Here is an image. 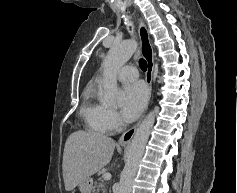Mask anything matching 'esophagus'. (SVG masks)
I'll use <instances>...</instances> for the list:
<instances>
[{"label":"esophagus","instance_id":"34e87169","mask_svg":"<svg viewBox=\"0 0 237 193\" xmlns=\"http://www.w3.org/2000/svg\"><path fill=\"white\" fill-rule=\"evenodd\" d=\"M138 33L140 38V47L141 51L146 59L147 62V72H146V83L149 89V98L151 97L152 93V77H153V70H154V51L150 41V35L148 29L142 19H139L138 24ZM139 125V122L133 126L132 128L125 131L118 140L120 145L129 144L132 137L134 136L136 129Z\"/></svg>","mask_w":237,"mask_h":193}]
</instances>
